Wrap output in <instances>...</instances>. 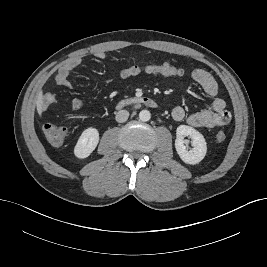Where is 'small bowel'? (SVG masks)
I'll return each mask as SVG.
<instances>
[{"label": "small bowel", "instance_id": "c3829d8e", "mask_svg": "<svg viewBox=\"0 0 267 267\" xmlns=\"http://www.w3.org/2000/svg\"><path fill=\"white\" fill-rule=\"evenodd\" d=\"M96 58L104 60L106 55L104 52L99 51L95 54ZM82 63L80 57H74L61 66L55 76L56 84L65 89H71L72 85L69 80L71 72L76 69ZM184 71L181 70L179 75H183ZM120 77V76H119ZM192 79L198 83L204 92L211 97H214L209 108L203 109L189 115L181 106H176L171 111V116L177 121H181L186 118L187 123L193 127L204 128H218L229 123L231 119L230 113L226 110V103L222 98L216 97L218 94V84L215 78L204 69H195L191 74ZM121 78V77H120ZM57 103V98L51 93L44 95L41 102V109H46L48 106ZM84 102L80 98H74L71 101V107L73 110H79L83 107Z\"/></svg>", "mask_w": 267, "mask_h": 267}]
</instances>
